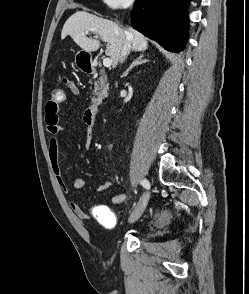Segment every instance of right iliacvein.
Segmentation results:
<instances>
[{
  "label": "right iliac vein",
  "mask_w": 249,
  "mask_h": 294,
  "mask_svg": "<svg viewBox=\"0 0 249 294\" xmlns=\"http://www.w3.org/2000/svg\"><path fill=\"white\" fill-rule=\"evenodd\" d=\"M149 195H150L149 192H146L143 194V196L139 200L136 208L134 209V211L131 213V215L129 217L130 223H134L135 221H137L141 217V215L143 214V212L146 209V206L148 204Z\"/></svg>",
  "instance_id": "obj_1"
}]
</instances>
